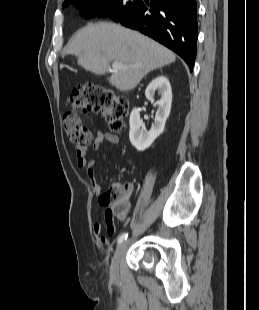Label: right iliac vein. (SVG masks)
<instances>
[{
	"label": "right iliac vein",
	"instance_id": "63e3f726",
	"mask_svg": "<svg viewBox=\"0 0 259 310\" xmlns=\"http://www.w3.org/2000/svg\"><path fill=\"white\" fill-rule=\"evenodd\" d=\"M128 244L129 241H123L115 251L110 267V275L113 279H117L119 276V262Z\"/></svg>",
	"mask_w": 259,
	"mask_h": 310
}]
</instances>
